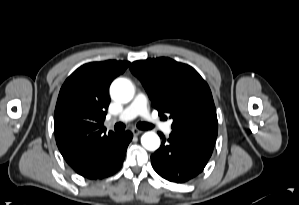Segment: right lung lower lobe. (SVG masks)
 <instances>
[{"label": "right lung lower lobe", "instance_id": "obj_1", "mask_svg": "<svg viewBox=\"0 0 299 205\" xmlns=\"http://www.w3.org/2000/svg\"><path fill=\"white\" fill-rule=\"evenodd\" d=\"M132 137L129 131L116 134L108 142L88 153L74 170L87 179H104L113 175L122 166Z\"/></svg>", "mask_w": 299, "mask_h": 205}]
</instances>
